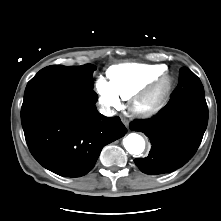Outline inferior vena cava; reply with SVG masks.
<instances>
[{"label":"inferior vena cava","instance_id":"602c4592","mask_svg":"<svg viewBox=\"0 0 221 221\" xmlns=\"http://www.w3.org/2000/svg\"><path fill=\"white\" fill-rule=\"evenodd\" d=\"M99 112L105 116H112L114 112H112L108 107H101L99 109Z\"/></svg>","mask_w":221,"mask_h":221}]
</instances>
